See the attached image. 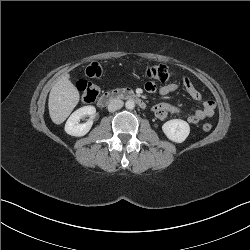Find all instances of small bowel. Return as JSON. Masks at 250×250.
Instances as JSON below:
<instances>
[{
	"instance_id": "small-bowel-1",
	"label": "small bowel",
	"mask_w": 250,
	"mask_h": 250,
	"mask_svg": "<svg viewBox=\"0 0 250 250\" xmlns=\"http://www.w3.org/2000/svg\"><path fill=\"white\" fill-rule=\"evenodd\" d=\"M183 87L192 99L196 101H200L202 99L201 93L195 88L189 78H184ZM179 88L180 85L177 83H169L157 87L153 81H148L145 85V89L148 92L158 91V93L162 96H166L172 92H175ZM215 107L216 104L214 101L206 100L203 102L201 109H198L193 114L187 115L186 119L191 124H197L202 120L212 117L214 115ZM152 110L155 116L160 120H164L168 114H183V110L180 107L165 102L154 105Z\"/></svg>"
}]
</instances>
